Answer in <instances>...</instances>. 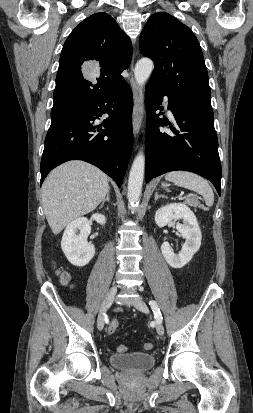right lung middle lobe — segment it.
Returning <instances> with one entry per match:
<instances>
[{"label":"right lung middle lobe","instance_id":"obj_1","mask_svg":"<svg viewBox=\"0 0 253 413\" xmlns=\"http://www.w3.org/2000/svg\"><path fill=\"white\" fill-rule=\"evenodd\" d=\"M59 118V117H58ZM57 119V118H52V120Z\"/></svg>","mask_w":253,"mask_h":413}]
</instances>
